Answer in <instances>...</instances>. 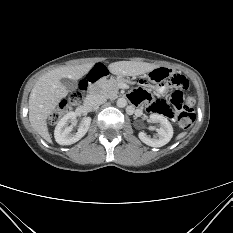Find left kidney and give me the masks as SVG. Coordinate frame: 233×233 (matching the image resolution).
Listing matches in <instances>:
<instances>
[{
    "instance_id": "obj_1",
    "label": "left kidney",
    "mask_w": 233,
    "mask_h": 233,
    "mask_svg": "<svg viewBox=\"0 0 233 233\" xmlns=\"http://www.w3.org/2000/svg\"><path fill=\"white\" fill-rule=\"evenodd\" d=\"M151 122L159 123V128L156 129L158 133V138H150L145 132L139 133L140 140L148 146L151 147H162L167 144L173 137V127L170 122L162 115L151 114Z\"/></svg>"
}]
</instances>
